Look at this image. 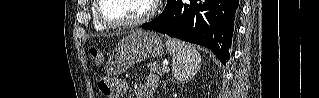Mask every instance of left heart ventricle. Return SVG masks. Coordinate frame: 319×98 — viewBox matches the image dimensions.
<instances>
[{"instance_id": "1", "label": "left heart ventricle", "mask_w": 319, "mask_h": 98, "mask_svg": "<svg viewBox=\"0 0 319 98\" xmlns=\"http://www.w3.org/2000/svg\"><path fill=\"white\" fill-rule=\"evenodd\" d=\"M148 0H104L103 15L111 21H130L148 10Z\"/></svg>"}]
</instances>
